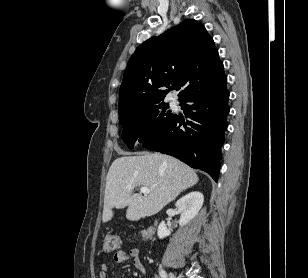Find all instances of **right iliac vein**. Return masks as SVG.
<instances>
[{"label": "right iliac vein", "mask_w": 308, "mask_h": 278, "mask_svg": "<svg viewBox=\"0 0 308 278\" xmlns=\"http://www.w3.org/2000/svg\"><path fill=\"white\" fill-rule=\"evenodd\" d=\"M169 278H176L173 273H169Z\"/></svg>", "instance_id": "right-iliac-vein-1"}]
</instances>
